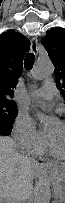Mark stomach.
Returning a JSON list of instances; mask_svg holds the SVG:
<instances>
[{"label": "stomach", "mask_w": 65, "mask_h": 203, "mask_svg": "<svg viewBox=\"0 0 65 203\" xmlns=\"http://www.w3.org/2000/svg\"><path fill=\"white\" fill-rule=\"evenodd\" d=\"M50 172L54 183V193L60 199L59 203H65V166H50Z\"/></svg>", "instance_id": "0dacf381"}]
</instances>
